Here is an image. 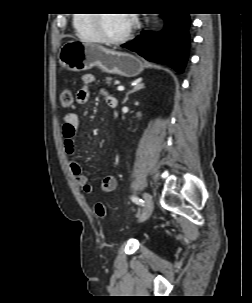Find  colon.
<instances>
[{"label": "colon", "instance_id": "colon-1", "mask_svg": "<svg viewBox=\"0 0 252 303\" xmlns=\"http://www.w3.org/2000/svg\"><path fill=\"white\" fill-rule=\"evenodd\" d=\"M60 103L63 108H71L73 106V94L69 88H63L60 92ZM94 213L98 218L106 216L105 205L101 201H97L93 207Z\"/></svg>", "mask_w": 252, "mask_h": 303}]
</instances>
